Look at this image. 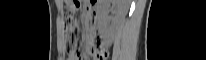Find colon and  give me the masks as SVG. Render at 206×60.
I'll return each mask as SVG.
<instances>
[{"label": "colon", "mask_w": 206, "mask_h": 60, "mask_svg": "<svg viewBox=\"0 0 206 60\" xmlns=\"http://www.w3.org/2000/svg\"><path fill=\"white\" fill-rule=\"evenodd\" d=\"M66 31L68 34L67 51L71 58H76L78 55V46L80 44V29L76 19L69 15L66 19ZM107 53L104 50L96 52V60H105Z\"/></svg>", "instance_id": "5ec220e1"}]
</instances>
